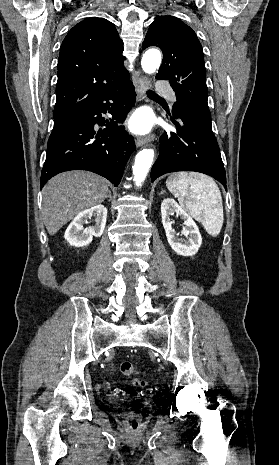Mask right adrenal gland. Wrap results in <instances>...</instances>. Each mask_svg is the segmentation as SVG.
I'll use <instances>...</instances> for the list:
<instances>
[{"label": "right adrenal gland", "mask_w": 279, "mask_h": 465, "mask_svg": "<svg viewBox=\"0 0 279 465\" xmlns=\"http://www.w3.org/2000/svg\"><path fill=\"white\" fill-rule=\"evenodd\" d=\"M106 198H109V200H111V199H112V196H111V191H109V192H108V195H107V197H106Z\"/></svg>", "instance_id": "right-adrenal-gland-1"}]
</instances>
